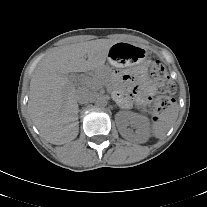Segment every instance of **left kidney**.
I'll list each match as a JSON object with an SVG mask.
<instances>
[{
  "mask_svg": "<svg viewBox=\"0 0 207 207\" xmlns=\"http://www.w3.org/2000/svg\"><path fill=\"white\" fill-rule=\"evenodd\" d=\"M116 120L120 122V134L124 138L148 139L149 121L147 117L133 112L121 111L116 114ZM128 125L133 127L135 132L127 129Z\"/></svg>",
  "mask_w": 207,
  "mask_h": 207,
  "instance_id": "left-kidney-1",
  "label": "left kidney"
}]
</instances>
